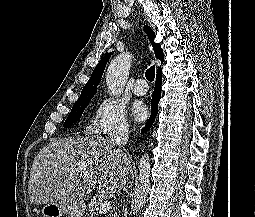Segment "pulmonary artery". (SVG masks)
<instances>
[{"label":"pulmonary artery","mask_w":255,"mask_h":217,"mask_svg":"<svg viewBox=\"0 0 255 217\" xmlns=\"http://www.w3.org/2000/svg\"><path fill=\"white\" fill-rule=\"evenodd\" d=\"M145 80L143 78H138L133 87H132V91L135 95L138 96H143L147 93L148 91V87L146 85H144Z\"/></svg>","instance_id":"1"}]
</instances>
